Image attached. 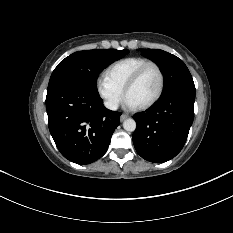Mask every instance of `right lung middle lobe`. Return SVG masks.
<instances>
[{
  "label": "right lung middle lobe",
  "instance_id": "right-lung-middle-lobe-1",
  "mask_svg": "<svg viewBox=\"0 0 233 233\" xmlns=\"http://www.w3.org/2000/svg\"><path fill=\"white\" fill-rule=\"evenodd\" d=\"M129 51L95 49L78 51L62 60L54 69L48 88L57 85H72L98 93L96 81L99 73Z\"/></svg>",
  "mask_w": 233,
  "mask_h": 233
}]
</instances>
